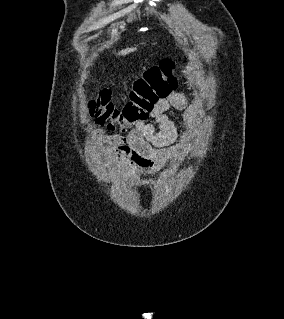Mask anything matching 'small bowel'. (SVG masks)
I'll use <instances>...</instances> for the list:
<instances>
[{"instance_id":"obj_1","label":"small bowel","mask_w":284,"mask_h":319,"mask_svg":"<svg viewBox=\"0 0 284 319\" xmlns=\"http://www.w3.org/2000/svg\"><path fill=\"white\" fill-rule=\"evenodd\" d=\"M182 111L185 133L191 135L197 124L200 104H189L183 92H172L160 100L151 112L153 122L138 123L127 136H107L100 128L91 129L97 144L117 147L115 155L122 161L125 171L137 180L142 172L160 173L174 158L173 147L179 138V130L167 115L170 109Z\"/></svg>"}]
</instances>
